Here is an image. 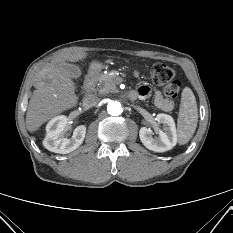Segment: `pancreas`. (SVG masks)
Segmentation results:
<instances>
[{
  "label": "pancreas",
  "mask_w": 233,
  "mask_h": 233,
  "mask_svg": "<svg viewBox=\"0 0 233 233\" xmlns=\"http://www.w3.org/2000/svg\"><path fill=\"white\" fill-rule=\"evenodd\" d=\"M117 76L113 73L99 74L93 79L100 94H107L116 90Z\"/></svg>",
  "instance_id": "1"
}]
</instances>
